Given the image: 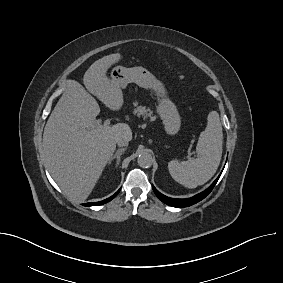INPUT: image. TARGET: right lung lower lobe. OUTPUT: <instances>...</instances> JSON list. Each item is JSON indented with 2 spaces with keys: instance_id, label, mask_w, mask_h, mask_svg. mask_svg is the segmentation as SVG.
<instances>
[{
  "instance_id": "98d812e1",
  "label": "right lung lower lobe",
  "mask_w": 283,
  "mask_h": 283,
  "mask_svg": "<svg viewBox=\"0 0 283 283\" xmlns=\"http://www.w3.org/2000/svg\"><path fill=\"white\" fill-rule=\"evenodd\" d=\"M120 190H118L114 195H112L111 197L103 200V201H99V202H93V203H84L83 205L84 206H96V205H102V204H105L109 201H111L118 193H119Z\"/></svg>"
}]
</instances>
